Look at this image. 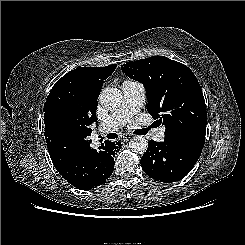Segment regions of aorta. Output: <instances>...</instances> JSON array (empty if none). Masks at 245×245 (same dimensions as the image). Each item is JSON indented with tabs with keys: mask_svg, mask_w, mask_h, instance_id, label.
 <instances>
[{
	"mask_svg": "<svg viewBox=\"0 0 245 245\" xmlns=\"http://www.w3.org/2000/svg\"><path fill=\"white\" fill-rule=\"evenodd\" d=\"M99 101L105 108L115 109L122 102L121 91L117 88H105L100 93ZM147 146V140L142 136H135L129 142V148L135 153H144Z\"/></svg>",
	"mask_w": 245,
	"mask_h": 245,
	"instance_id": "obj_1",
	"label": "aorta"
}]
</instances>
